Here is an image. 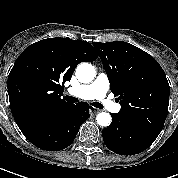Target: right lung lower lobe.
Listing matches in <instances>:
<instances>
[{
  "instance_id": "obj_1",
  "label": "right lung lower lobe",
  "mask_w": 178,
  "mask_h": 178,
  "mask_svg": "<svg viewBox=\"0 0 178 178\" xmlns=\"http://www.w3.org/2000/svg\"><path fill=\"white\" fill-rule=\"evenodd\" d=\"M90 117L89 105L70 104L63 111L35 119L20 128L35 146L47 151H59L75 139L81 124Z\"/></svg>"
}]
</instances>
